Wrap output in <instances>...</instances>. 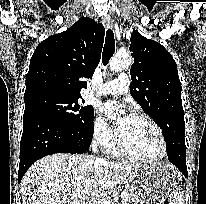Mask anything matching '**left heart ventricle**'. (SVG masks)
Returning a JSON list of instances; mask_svg holds the SVG:
<instances>
[{
  "mask_svg": "<svg viewBox=\"0 0 206 204\" xmlns=\"http://www.w3.org/2000/svg\"><path fill=\"white\" fill-rule=\"evenodd\" d=\"M120 134L127 148L144 157H155L162 145L156 130L145 120L133 116L120 121Z\"/></svg>",
  "mask_w": 206,
  "mask_h": 204,
  "instance_id": "obj_1",
  "label": "left heart ventricle"
}]
</instances>
